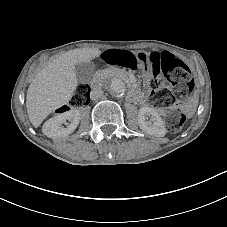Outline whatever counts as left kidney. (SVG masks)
<instances>
[{
	"instance_id": "left-kidney-1",
	"label": "left kidney",
	"mask_w": 227,
	"mask_h": 227,
	"mask_svg": "<svg viewBox=\"0 0 227 227\" xmlns=\"http://www.w3.org/2000/svg\"><path fill=\"white\" fill-rule=\"evenodd\" d=\"M148 117H150V121L146 120ZM137 119L140 129L147 134L154 135L156 137L165 136L166 128L164 121L155 109L150 107L140 108Z\"/></svg>"
}]
</instances>
